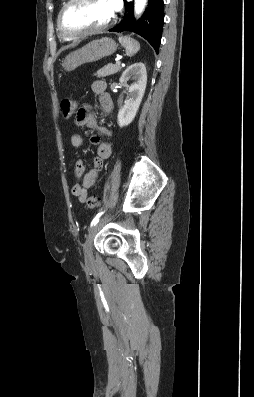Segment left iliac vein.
<instances>
[{"instance_id": "1", "label": "left iliac vein", "mask_w": 254, "mask_h": 397, "mask_svg": "<svg viewBox=\"0 0 254 397\" xmlns=\"http://www.w3.org/2000/svg\"><path fill=\"white\" fill-rule=\"evenodd\" d=\"M105 220H106V217L101 219L96 225H94L90 229L88 236L86 238V241L84 243V256H85L86 262H88V263L93 260L92 243H93L94 237H95L96 233L98 232V230L100 229V227L105 222Z\"/></svg>"}]
</instances>
